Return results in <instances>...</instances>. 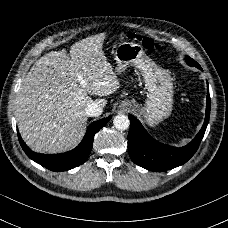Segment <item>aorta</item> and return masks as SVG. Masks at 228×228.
Segmentation results:
<instances>
[{"mask_svg": "<svg viewBox=\"0 0 228 228\" xmlns=\"http://www.w3.org/2000/svg\"><path fill=\"white\" fill-rule=\"evenodd\" d=\"M113 123H114L115 128L120 131H126L130 127V120L124 114L115 116Z\"/></svg>", "mask_w": 228, "mask_h": 228, "instance_id": "1", "label": "aorta"}]
</instances>
